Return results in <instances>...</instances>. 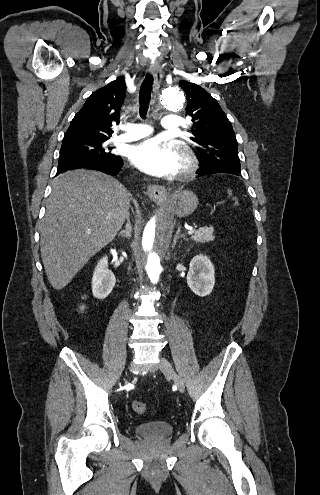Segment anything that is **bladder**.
Segmentation results:
<instances>
[{"instance_id":"bladder-1","label":"bladder","mask_w":320,"mask_h":495,"mask_svg":"<svg viewBox=\"0 0 320 495\" xmlns=\"http://www.w3.org/2000/svg\"><path fill=\"white\" fill-rule=\"evenodd\" d=\"M135 432L141 437L163 439L173 434L174 426L166 421H149L136 425Z\"/></svg>"}]
</instances>
